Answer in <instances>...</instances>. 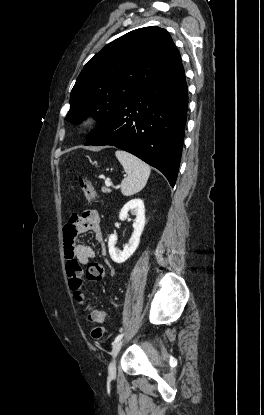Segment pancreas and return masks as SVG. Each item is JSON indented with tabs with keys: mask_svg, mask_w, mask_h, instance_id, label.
Instances as JSON below:
<instances>
[{
	"mask_svg": "<svg viewBox=\"0 0 264 415\" xmlns=\"http://www.w3.org/2000/svg\"><path fill=\"white\" fill-rule=\"evenodd\" d=\"M102 192L103 193H109L110 189L106 188V187H102Z\"/></svg>",
	"mask_w": 264,
	"mask_h": 415,
	"instance_id": "1",
	"label": "pancreas"
}]
</instances>
